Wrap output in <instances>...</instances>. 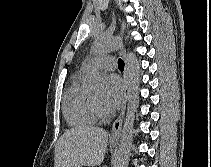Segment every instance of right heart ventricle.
<instances>
[{
	"mask_svg": "<svg viewBox=\"0 0 211 167\" xmlns=\"http://www.w3.org/2000/svg\"><path fill=\"white\" fill-rule=\"evenodd\" d=\"M88 73V69L81 67L73 76L64 96V116L68 123L73 126H90L96 122V116L89 102L90 94L84 87V80Z\"/></svg>",
	"mask_w": 211,
	"mask_h": 167,
	"instance_id": "e07e8e85",
	"label": "right heart ventricle"
}]
</instances>
